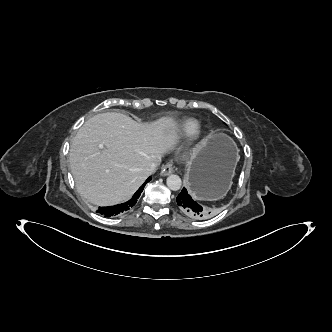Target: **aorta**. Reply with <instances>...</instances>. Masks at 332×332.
Segmentation results:
<instances>
[{
    "instance_id": "1",
    "label": "aorta",
    "mask_w": 332,
    "mask_h": 332,
    "mask_svg": "<svg viewBox=\"0 0 332 332\" xmlns=\"http://www.w3.org/2000/svg\"><path fill=\"white\" fill-rule=\"evenodd\" d=\"M166 183H167V186L173 191L179 190L182 185L181 178L178 175L168 176Z\"/></svg>"
}]
</instances>
